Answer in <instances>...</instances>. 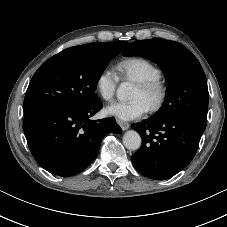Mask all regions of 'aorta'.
Masks as SVG:
<instances>
[{
  "label": "aorta",
  "mask_w": 227,
  "mask_h": 227,
  "mask_svg": "<svg viewBox=\"0 0 227 227\" xmlns=\"http://www.w3.org/2000/svg\"><path fill=\"white\" fill-rule=\"evenodd\" d=\"M133 86L129 82H122L118 89L117 95L122 100L130 98ZM123 144L129 150H137L141 146V137L138 132L134 130L127 131L123 136Z\"/></svg>",
  "instance_id": "aorta-1"
}]
</instances>
